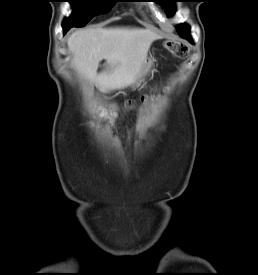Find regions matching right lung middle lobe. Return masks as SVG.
<instances>
[{
    "instance_id": "dd1d6c3e",
    "label": "right lung middle lobe",
    "mask_w": 258,
    "mask_h": 275,
    "mask_svg": "<svg viewBox=\"0 0 258 275\" xmlns=\"http://www.w3.org/2000/svg\"><path fill=\"white\" fill-rule=\"evenodd\" d=\"M73 8V17L66 18L63 26H85L94 16L108 12L115 0H69Z\"/></svg>"
}]
</instances>
